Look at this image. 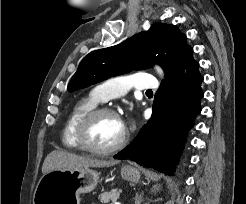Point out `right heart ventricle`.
<instances>
[{
    "mask_svg": "<svg viewBox=\"0 0 246 204\" xmlns=\"http://www.w3.org/2000/svg\"><path fill=\"white\" fill-rule=\"evenodd\" d=\"M99 102L91 94L78 100L70 110L62 130V144L71 150H80L76 140V128L81 118L97 107Z\"/></svg>",
    "mask_w": 246,
    "mask_h": 204,
    "instance_id": "1",
    "label": "right heart ventricle"
}]
</instances>
